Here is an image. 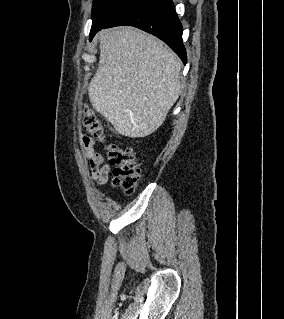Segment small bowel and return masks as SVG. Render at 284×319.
Instances as JSON below:
<instances>
[{"label": "small bowel", "mask_w": 284, "mask_h": 319, "mask_svg": "<svg viewBox=\"0 0 284 319\" xmlns=\"http://www.w3.org/2000/svg\"><path fill=\"white\" fill-rule=\"evenodd\" d=\"M94 140L83 135L81 138V146L84 152V157L89 164L91 179L96 181L99 186H103L108 182L111 168L104 163L102 154L95 151Z\"/></svg>", "instance_id": "small-bowel-1"}]
</instances>
